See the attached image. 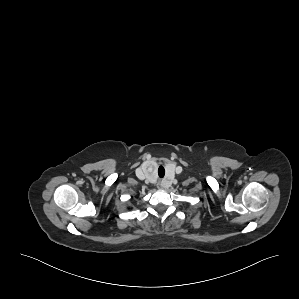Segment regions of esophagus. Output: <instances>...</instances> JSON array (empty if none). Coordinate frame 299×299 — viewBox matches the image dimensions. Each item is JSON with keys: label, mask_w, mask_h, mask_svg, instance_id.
<instances>
[{"label": "esophagus", "mask_w": 299, "mask_h": 299, "mask_svg": "<svg viewBox=\"0 0 299 299\" xmlns=\"http://www.w3.org/2000/svg\"><path fill=\"white\" fill-rule=\"evenodd\" d=\"M158 188H159V189H163V188H164V186H163V182H162V181L158 183Z\"/></svg>", "instance_id": "1"}]
</instances>
